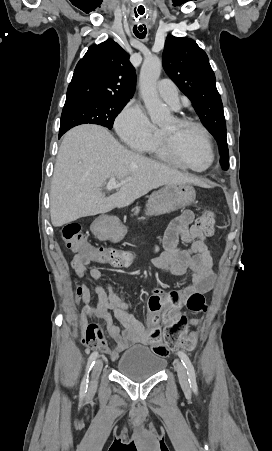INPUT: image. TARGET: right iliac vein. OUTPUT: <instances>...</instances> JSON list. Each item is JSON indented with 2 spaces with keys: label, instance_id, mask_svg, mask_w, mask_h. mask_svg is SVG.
Returning <instances> with one entry per match:
<instances>
[{
  "label": "right iliac vein",
  "instance_id": "right-iliac-vein-1",
  "mask_svg": "<svg viewBox=\"0 0 272 451\" xmlns=\"http://www.w3.org/2000/svg\"><path fill=\"white\" fill-rule=\"evenodd\" d=\"M102 366H103V364H102V362L100 360H98L95 363L93 371H92V374H91L92 381H91L90 389H93L95 387V385L97 384L98 377H99V375L101 373V370H102Z\"/></svg>",
  "mask_w": 272,
  "mask_h": 451
}]
</instances>
